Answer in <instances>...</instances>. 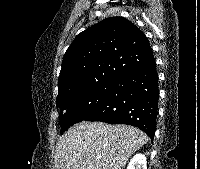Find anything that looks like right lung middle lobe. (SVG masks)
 I'll return each instance as SVG.
<instances>
[{"mask_svg": "<svg viewBox=\"0 0 200 169\" xmlns=\"http://www.w3.org/2000/svg\"><path fill=\"white\" fill-rule=\"evenodd\" d=\"M116 80L97 81L72 96L57 100V106L61 108L60 125L62 132L92 114L104 102Z\"/></svg>", "mask_w": 200, "mask_h": 169, "instance_id": "right-lung-middle-lobe-1", "label": "right lung middle lobe"}]
</instances>
